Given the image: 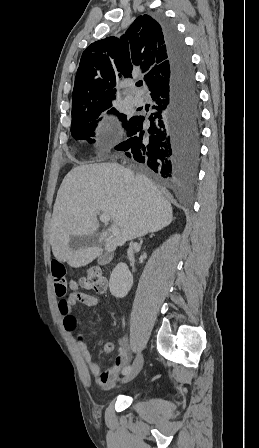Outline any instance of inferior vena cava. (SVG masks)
Listing matches in <instances>:
<instances>
[{"label": "inferior vena cava", "instance_id": "inferior-vena-cava-1", "mask_svg": "<svg viewBox=\"0 0 259 448\" xmlns=\"http://www.w3.org/2000/svg\"><path fill=\"white\" fill-rule=\"evenodd\" d=\"M134 180V174L131 170H125L124 182L126 184V188H130L132 182Z\"/></svg>", "mask_w": 259, "mask_h": 448}]
</instances>
